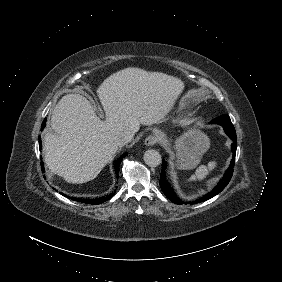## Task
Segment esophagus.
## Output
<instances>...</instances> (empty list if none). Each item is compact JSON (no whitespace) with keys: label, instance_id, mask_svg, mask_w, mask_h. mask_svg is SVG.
I'll list each match as a JSON object with an SVG mask.
<instances>
[{"label":"esophagus","instance_id":"34e87169","mask_svg":"<svg viewBox=\"0 0 282 282\" xmlns=\"http://www.w3.org/2000/svg\"><path fill=\"white\" fill-rule=\"evenodd\" d=\"M156 142H157V138L153 135H150L145 139L146 146H153L156 144Z\"/></svg>","mask_w":282,"mask_h":282}]
</instances>
